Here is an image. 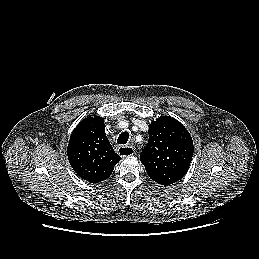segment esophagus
Returning <instances> with one entry per match:
<instances>
[{"instance_id": "1", "label": "esophagus", "mask_w": 259, "mask_h": 259, "mask_svg": "<svg viewBox=\"0 0 259 259\" xmlns=\"http://www.w3.org/2000/svg\"><path fill=\"white\" fill-rule=\"evenodd\" d=\"M118 153L121 157H131L135 153V149L132 146H120Z\"/></svg>"}]
</instances>
